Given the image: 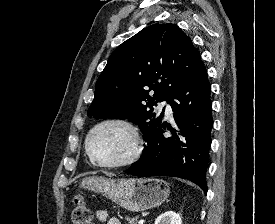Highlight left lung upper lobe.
<instances>
[{"label":"left lung upper lobe","mask_w":275,"mask_h":224,"mask_svg":"<svg viewBox=\"0 0 275 224\" xmlns=\"http://www.w3.org/2000/svg\"><path fill=\"white\" fill-rule=\"evenodd\" d=\"M203 66L200 53L177 25H150L111 54L87 114L129 118L147 139L162 123L163 113L157 116L153 106L168 101Z\"/></svg>","instance_id":"obj_1"}]
</instances>
